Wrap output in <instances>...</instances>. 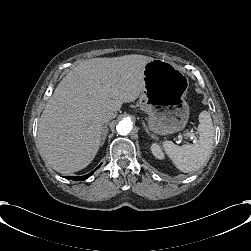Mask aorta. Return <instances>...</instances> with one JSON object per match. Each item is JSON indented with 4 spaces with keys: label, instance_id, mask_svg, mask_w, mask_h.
<instances>
[{
    "label": "aorta",
    "instance_id": "762f6f07",
    "mask_svg": "<svg viewBox=\"0 0 251 251\" xmlns=\"http://www.w3.org/2000/svg\"><path fill=\"white\" fill-rule=\"evenodd\" d=\"M132 128H133L132 122L128 119L121 120L116 127L117 132L120 135H127L128 133H130Z\"/></svg>",
    "mask_w": 251,
    "mask_h": 251
}]
</instances>
